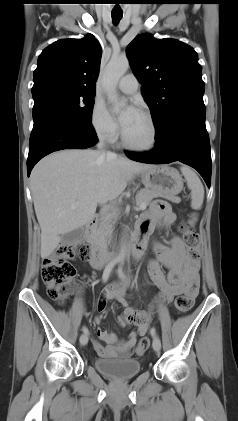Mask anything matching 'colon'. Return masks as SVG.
<instances>
[{
	"mask_svg": "<svg viewBox=\"0 0 238 421\" xmlns=\"http://www.w3.org/2000/svg\"><path fill=\"white\" fill-rule=\"evenodd\" d=\"M180 231L183 234L188 253L191 259L200 258L199 235L197 231L188 223L183 222L180 225ZM75 252L81 259L90 257V249L81 246L78 249L68 244H60L53 253L43 259L42 279L47 289L48 296L58 302H63L71 292L78 287L75 281L76 271L74 266L67 260ZM193 305V301L186 296H178L175 306L178 313L188 312ZM132 317V315H130ZM150 341L147 337H142L138 343V353H142L149 348Z\"/></svg>",
	"mask_w": 238,
	"mask_h": 421,
	"instance_id": "colon-1",
	"label": "colon"
}]
</instances>
